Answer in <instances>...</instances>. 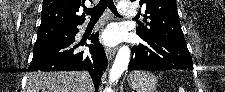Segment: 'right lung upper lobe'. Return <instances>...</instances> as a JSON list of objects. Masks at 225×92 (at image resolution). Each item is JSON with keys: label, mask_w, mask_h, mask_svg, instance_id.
I'll return each instance as SVG.
<instances>
[{"label": "right lung upper lobe", "mask_w": 225, "mask_h": 92, "mask_svg": "<svg viewBox=\"0 0 225 92\" xmlns=\"http://www.w3.org/2000/svg\"><path fill=\"white\" fill-rule=\"evenodd\" d=\"M81 5H84V0H43L41 12V25H68L75 26L82 24L85 21V16H78Z\"/></svg>", "instance_id": "obj_1"}]
</instances>
